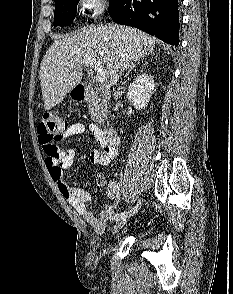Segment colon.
<instances>
[{
	"label": "colon",
	"mask_w": 233,
	"mask_h": 294,
	"mask_svg": "<svg viewBox=\"0 0 233 294\" xmlns=\"http://www.w3.org/2000/svg\"><path fill=\"white\" fill-rule=\"evenodd\" d=\"M68 127V122L58 112L48 111L44 114L38 126V134L39 142L48 157L59 158L58 143Z\"/></svg>",
	"instance_id": "5ec220e1"
}]
</instances>
